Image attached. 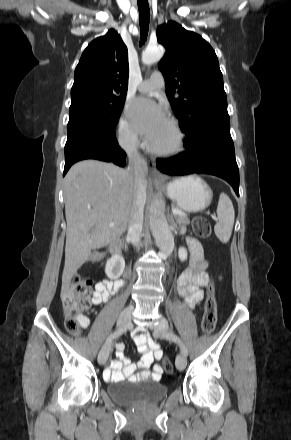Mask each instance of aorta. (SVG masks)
Instances as JSON below:
<instances>
[{"label":"aorta","mask_w":291,"mask_h":440,"mask_svg":"<svg viewBox=\"0 0 291 440\" xmlns=\"http://www.w3.org/2000/svg\"><path fill=\"white\" fill-rule=\"evenodd\" d=\"M164 54L162 46H148L142 53V63L150 65L158 62ZM149 225L152 235L159 249L169 255L174 249V237L165 217L152 209L149 216Z\"/></svg>","instance_id":"obj_1"}]
</instances>
